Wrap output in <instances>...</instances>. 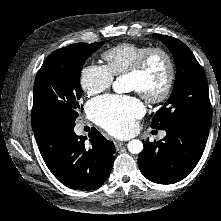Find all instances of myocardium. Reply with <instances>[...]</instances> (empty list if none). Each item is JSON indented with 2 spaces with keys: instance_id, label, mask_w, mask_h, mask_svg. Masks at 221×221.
<instances>
[{
  "instance_id": "1",
  "label": "myocardium",
  "mask_w": 221,
  "mask_h": 221,
  "mask_svg": "<svg viewBox=\"0 0 221 221\" xmlns=\"http://www.w3.org/2000/svg\"><path fill=\"white\" fill-rule=\"evenodd\" d=\"M161 57L166 65V74L159 92L147 94L139 90L141 96L150 103H159L166 100L172 92L175 81V66L170 54L161 47H148L125 73L126 76L141 75L154 57Z\"/></svg>"
}]
</instances>
